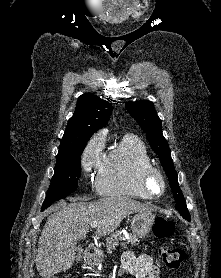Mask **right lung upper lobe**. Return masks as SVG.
Instances as JSON below:
<instances>
[{
  "label": "right lung upper lobe",
  "instance_id": "obj_1",
  "mask_svg": "<svg viewBox=\"0 0 221 278\" xmlns=\"http://www.w3.org/2000/svg\"><path fill=\"white\" fill-rule=\"evenodd\" d=\"M111 112L110 103L91 93L81 95L75 113L68 121L59 151L87 143L93 133L107 124Z\"/></svg>",
  "mask_w": 221,
  "mask_h": 278
}]
</instances>
